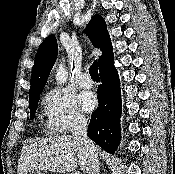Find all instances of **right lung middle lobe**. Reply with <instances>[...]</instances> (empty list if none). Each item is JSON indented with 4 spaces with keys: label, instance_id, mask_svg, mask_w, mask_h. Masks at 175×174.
I'll return each mask as SVG.
<instances>
[{
    "label": "right lung middle lobe",
    "instance_id": "1",
    "mask_svg": "<svg viewBox=\"0 0 175 174\" xmlns=\"http://www.w3.org/2000/svg\"><path fill=\"white\" fill-rule=\"evenodd\" d=\"M38 99H39V96L29 101L31 119L35 117Z\"/></svg>",
    "mask_w": 175,
    "mask_h": 174
}]
</instances>
